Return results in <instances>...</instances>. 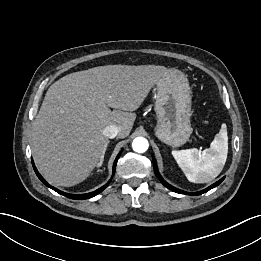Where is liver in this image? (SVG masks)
Here are the masks:
<instances>
[{
  "label": "liver",
  "instance_id": "1",
  "mask_svg": "<svg viewBox=\"0 0 261 261\" xmlns=\"http://www.w3.org/2000/svg\"><path fill=\"white\" fill-rule=\"evenodd\" d=\"M169 72L156 65H106L54 82L32 125L33 157L44 178L64 187L85 180L105 155L104 129L115 125L119 138H126L133 112Z\"/></svg>",
  "mask_w": 261,
  "mask_h": 261
}]
</instances>
